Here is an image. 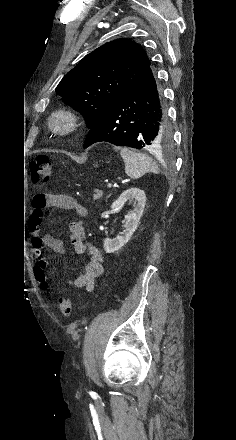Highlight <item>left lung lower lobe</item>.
Masks as SVG:
<instances>
[{
    "label": "left lung lower lobe",
    "mask_w": 236,
    "mask_h": 440,
    "mask_svg": "<svg viewBox=\"0 0 236 440\" xmlns=\"http://www.w3.org/2000/svg\"><path fill=\"white\" fill-rule=\"evenodd\" d=\"M170 135L163 93L149 68L90 129L84 147L106 141L117 146L154 149L168 142Z\"/></svg>",
    "instance_id": "1"
}]
</instances>
